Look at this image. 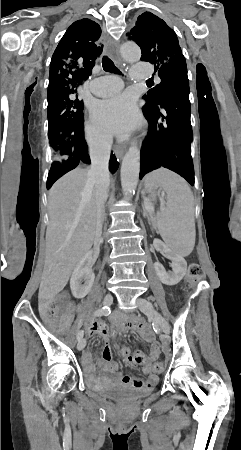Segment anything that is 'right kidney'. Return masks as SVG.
I'll return each instance as SVG.
<instances>
[{
  "instance_id": "ca27d5eb",
  "label": "right kidney",
  "mask_w": 241,
  "mask_h": 450,
  "mask_svg": "<svg viewBox=\"0 0 241 450\" xmlns=\"http://www.w3.org/2000/svg\"><path fill=\"white\" fill-rule=\"evenodd\" d=\"M92 256L93 252L90 250L81 258L73 270L70 288L74 298H85L93 286L95 276L92 270L94 264Z\"/></svg>"
}]
</instances>
